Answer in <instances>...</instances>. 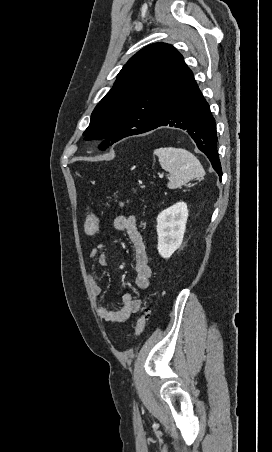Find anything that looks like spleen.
<instances>
[{
    "label": "spleen",
    "instance_id": "3e777b00",
    "mask_svg": "<svg viewBox=\"0 0 272 452\" xmlns=\"http://www.w3.org/2000/svg\"><path fill=\"white\" fill-rule=\"evenodd\" d=\"M154 154L165 171L170 173L168 187L178 188L194 178H201L205 170L200 161L191 152L182 148H157Z\"/></svg>",
    "mask_w": 272,
    "mask_h": 452
}]
</instances>
